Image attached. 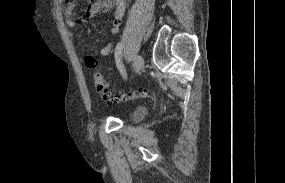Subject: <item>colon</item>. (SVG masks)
Returning <instances> with one entry per match:
<instances>
[{"instance_id":"colon-1","label":"colon","mask_w":285,"mask_h":183,"mask_svg":"<svg viewBox=\"0 0 285 183\" xmlns=\"http://www.w3.org/2000/svg\"><path fill=\"white\" fill-rule=\"evenodd\" d=\"M93 84L97 94L108 103H118L136 99L145 95V91H133L129 93H115L109 86V83L101 73H95L93 76Z\"/></svg>"}]
</instances>
